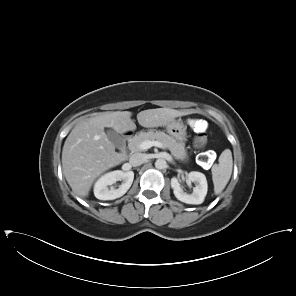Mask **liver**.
Instances as JSON below:
<instances>
[{
  "label": "liver",
  "instance_id": "6515ba94",
  "mask_svg": "<svg viewBox=\"0 0 296 296\" xmlns=\"http://www.w3.org/2000/svg\"><path fill=\"white\" fill-rule=\"evenodd\" d=\"M191 113L192 110L148 109L139 112L137 120L142 127L155 128ZM131 115L129 111L105 112L80 122L72 129L63 146L62 168L75 195L87 197L96 178L124 160V154L115 151V145L104 128L111 127L119 134L135 131Z\"/></svg>",
  "mask_w": 296,
  "mask_h": 296
}]
</instances>
